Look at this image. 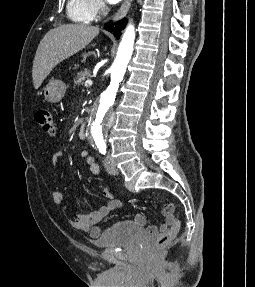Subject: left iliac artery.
Returning a JSON list of instances; mask_svg holds the SVG:
<instances>
[{
    "label": "left iliac artery",
    "mask_w": 255,
    "mask_h": 287,
    "mask_svg": "<svg viewBox=\"0 0 255 287\" xmlns=\"http://www.w3.org/2000/svg\"><path fill=\"white\" fill-rule=\"evenodd\" d=\"M100 150V152L102 153V154H105L106 153V149L103 147V148H101V149H99Z\"/></svg>",
    "instance_id": "obj_1"
}]
</instances>
